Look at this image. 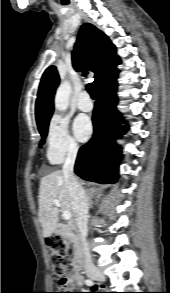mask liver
<instances>
[{
  "label": "liver",
  "mask_w": 170,
  "mask_h": 293,
  "mask_svg": "<svg viewBox=\"0 0 170 293\" xmlns=\"http://www.w3.org/2000/svg\"><path fill=\"white\" fill-rule=\"evenodd\" d=\"M54 199L59 200L62 211H71L75 215L72 208V199L61 170L44 176L40 181L39 221L43 228L44 237L51 236L59 226L60 210L54 205Z\"/></svg>",
  "instance_id": "1"
}]
</instances>
